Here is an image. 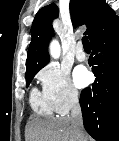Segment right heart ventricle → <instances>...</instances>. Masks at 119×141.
Wrapping results in <instances>:
<instances>
[{"label": "right heart ventricle", "mask_w": 119, "mask_h": 141, "mask_svg": "<svg viewBox=\"0 0 119 141\" xmlns=\"http://www.w3.org/2000/svg\"><path fill=\"white\" fill-rule=\"evenodd\" d=\"M30 101L35 112L43 116H52L54 112L53 108L45 99L44 95L36 89L31 92Z\"/></svg>", "instance_id": "e07e8e85"}]
</instances>
